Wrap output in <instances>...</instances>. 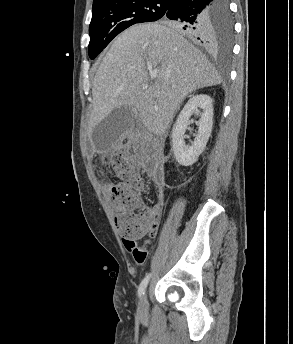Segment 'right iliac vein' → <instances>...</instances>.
I'll return each mask as SVG.
<instances>
[{"instance_id":"obj_1","label":"right iliac vein","mask_w":293,"mask_h":344,"mask_svg":"<svg viewBox=\"0 0 293 344\" xmlns=\"http://www.w3.org/2000/svg\"><path fill=\"white\" fill-rule=\"evenodd\" d=\"M138 314L142 319H145L148 316V304L146 295H143L140 299L138 306Z\"/></svg>"}]
</instances>
